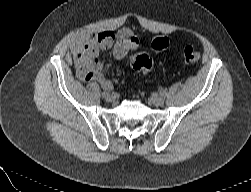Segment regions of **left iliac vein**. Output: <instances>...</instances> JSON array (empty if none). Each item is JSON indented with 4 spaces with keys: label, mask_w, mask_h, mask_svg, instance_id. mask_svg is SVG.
I'll list each match as a JSON object with an SVG mask.
<instances>
[{
    "label": "left iliac vein",
    "mask_w": 251,
    "mask_h": 192,
    "mask_svg": "<svg viewBox=\"0 0 251 192\" xmlns=\"http://www.w3.org/2000/svg\"><path fill=\"white\" fill-rule=\"evenodd\" d=\"M150 103L154 106H162L164 104V99L160 96H153L150 99Z\"/></svg>",
    "instance_id": "4c4485c4"
}]
</instances>
